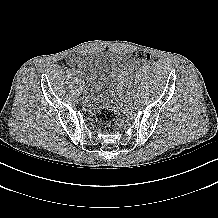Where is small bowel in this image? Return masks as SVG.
Listing matches in <instances>:
<instances>
[{
	"label": "small bowel",
	"instance_id": "small-bowel-1",
	"mask_svg": "<svg viewBox=\"0 0 218 218\" xmlns=\"http://www.w3.org/2000/svg\"><path fill=\"white\" fill-rule=\"evenodd\" d=\"M67 61H68V63H69L70 65H75V64L77 63V59H76V57L73 56V55L69 56L68 59H67Z\"/></svg>",
	"mask_w": 218,
	"mask_h": 218
}]
</instances>
